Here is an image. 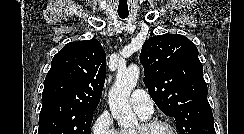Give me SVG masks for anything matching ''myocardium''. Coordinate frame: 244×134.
<instances>
[{"instance_id":"f54148a6","label":"myocardium","mask_w":244,"mask_h":134,"mask_svg":"<svg viewBox=\"0 0 244 134\" xmlns=\"http://www.w3.org/2000/svg\"><path fill=\"white\" fill-rule=\"evenodd\" d=\"M160 126L166 127L171 132V134H179L172 123L160 119H150L143 121L135 134H151L154 129Z\"/></svg>"}]
</instances>
